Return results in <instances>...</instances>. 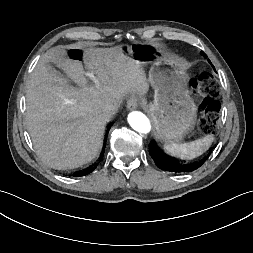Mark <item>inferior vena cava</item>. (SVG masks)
Wrapping results in <instances>:
<instances>
[{"mask_svg": "<svg viewBox=\"0 0 253 253\" xmlns=\"http://www.w3.org/2000/svg\"><path fill=\"white\" fill-rule=\"evenodd\" d=\"M118 110V106L112 103H108L104 107V114L107 118H111L114 114H116Z\"/></svg>", "mask_w": 253, "mask_h": 253, "instance_id": "1", "label": "inferior vena cava"}]
</instances>
